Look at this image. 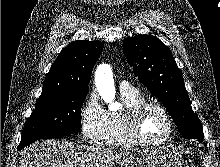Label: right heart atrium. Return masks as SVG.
<instances>
[{
	"instance_id": "d8ad5b80",
	"label": "right heart atrium",
	"mask_w": 220,
	"mask_h": 167,
	"mask_svg": "<svg viewBox=\"0 0 220 167\" xmlns=\"http://www.w3.org/2000/svg\"><path fill=\"white\" fill-rule=\"evenodd\" d=\"M107 111L95 91L85 97L80 110L81 135L85 142H100L106 126Z\"/></svg>"
}]
</instances>
